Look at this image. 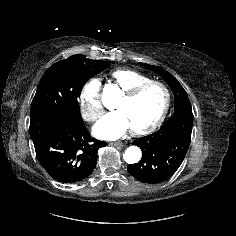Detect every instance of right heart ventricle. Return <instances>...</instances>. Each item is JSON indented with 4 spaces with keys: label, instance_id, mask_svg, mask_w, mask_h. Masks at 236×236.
Masks as SVG:
<instances>
[{
    "label": "right heart ventricle",
    "instance_id": "1",
    "mask_svg": "<svg viewBox=\"0 0 236 236\" xmlns=\"http://www.w3.org/2000/svg\"><path fill=\"white\" fill-rule=\"evenodd\" d=\"M110 79L123 92H127L141 83L152 80L149 76L128 68L113 70L110 73Z\"/></svg>",
    "mask_w": 236,
    "mask_h": 236
}]
</instances>
